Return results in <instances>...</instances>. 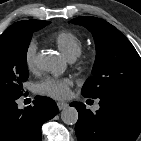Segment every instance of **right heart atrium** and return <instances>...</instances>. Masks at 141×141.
I'll use <instances>...</instances> for the list:
<instances>
[{"mask_svg": "<svg viewBox=\"0 0 141 141\" xmlns=\"http://www.w3.org/2000/svg\"><path fill=\"white\" fill-rule=\"evenodd\" d=\"M37 51V45L34 41L28 43L24 52L25 67L29 72L35 69V56Z\"/></svg>", "mask_w": 141, "mask_h": 141, "instance_id": "right-heart-atrium-1", "label": "right heart atrium"}]
</instances>
